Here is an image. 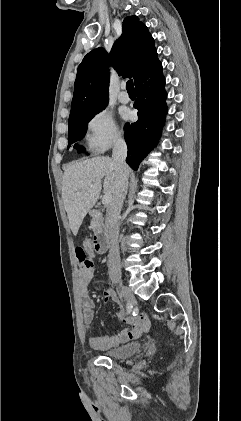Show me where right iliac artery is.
Wrapping results in <instances>:
<instances>
[{"label":"right iliac artery","mask_w":241,"mask_h":421,"mask_svg":"<svg viewBox=\"0 0 241 421\" xmlns=\"http://www.w3.org/2000/svg\"><path fill=\"white\" fill-rule=\"evenodd\" d=\"M132 306L129 304V303H127L126 304V311H127V314H129L131 311H132Z\"/></svg>","instance_id":"right-iliac-artery-1"}]
</instances>
